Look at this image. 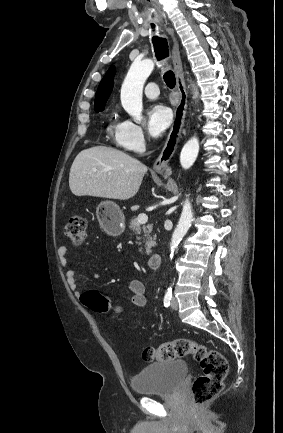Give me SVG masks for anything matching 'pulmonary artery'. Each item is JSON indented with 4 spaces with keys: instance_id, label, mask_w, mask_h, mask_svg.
Returning <instances> with one entry per match:
<instances>
[{
    "instance_id": "e3ab8cb5",
    "label": "pulmonary artery",
    "mask_w": 283,
    "mask_h": 433,
    "mask_svg": "<svg viewBox=\"0 0 283 433\" xmlns=\"http://www.w3.org/2000/svg\"><path fill=\"white\" fill-rule=\"evenodd\" d=\"M144 92H145L146 97H148L150 99H155V98L159 97V95H160V90H159V88H156L155 82L146 83V85L144 87Z\"/></svg>"
}]
</instances>
